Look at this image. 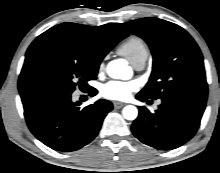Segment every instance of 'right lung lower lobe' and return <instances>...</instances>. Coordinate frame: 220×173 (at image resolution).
Here are the masks:
<instances>
[{"label":"right lung lower lobe","instance_id":"right-lung-lower-lobe-1","mask_svg":"<svg viewBox=\"0 0 220 173\" xmlns=\"http://www.w3.org/2000/svg\"><path fill=\"white\" fill-rule=\"evenodd\" d=\"M27 125L34 136L56 151H75L98 134L113 106L101 99L80 109L71 93L37 88L20 93Z\"/></svg>","mask_w":220,"mask_h":173}]
</instances>
